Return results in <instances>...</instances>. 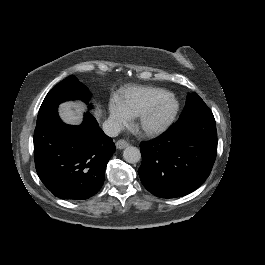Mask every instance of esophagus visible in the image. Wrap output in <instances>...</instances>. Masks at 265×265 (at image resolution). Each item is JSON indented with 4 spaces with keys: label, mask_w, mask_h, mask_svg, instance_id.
Returning a JSON list of instances; mask_svg holds the SVG:
<instances>
[{
    "label": "esophagus",
    "mask_w": 265,
    "mask_h": 265,
    "mask_svg": "<svg viewBox=\"0 0 265 265\" xmlns=\"http://www.w3.org/2000/svg\"><path fill=\"white\" fill-rule=\"evenodd\" d=\"M127 146H128V142L123 139H120L116 142L117 149H123V148H126Z\"/></svg>",
    "instance_id": "esophagus-1"
}]
</instances>
